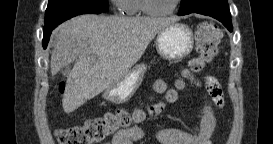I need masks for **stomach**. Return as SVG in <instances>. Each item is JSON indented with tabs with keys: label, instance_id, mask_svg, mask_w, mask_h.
I'll list each match as a JSON object with an SVG mask.
<instances>
[{
	"label": "stomach",
	"instance_id": "stomach-1",
	"mask_svg": "<svg viewBox=\"0 0 273 144\" xmlns=\"http://www.w3.org/2000/svg\"><path fill=\"white\" fill-rule=\"evenodd\" d=\"M155 45L162 57L169 60L182 59L193 49V31L188 25L173 23L157 34ZM146 71L147 65L143 63L134 66L121 81L106 89L104 99L113 104L128 101L141 85Z\"/></svg>",
	"mask_w": 273,
	"mask_h": 144
}]
</instances>
